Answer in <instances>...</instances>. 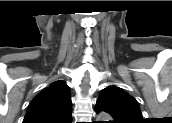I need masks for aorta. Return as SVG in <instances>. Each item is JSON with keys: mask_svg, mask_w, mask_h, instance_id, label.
I'll return each instance as SVG.
<instances>
[{"mask_svg": "<svg viewBox=\"0 0 172 123\" xmlns=\"http://www.w3.org/2000/svg\"><path fill=\"white\" fill-rule=\"evenodd\" d=\"M100 119H105V118H109V116L107 114H101L99 116Z\"/></svg>", "mask_w": 172, "mask_h": 123, "instance_id": "obj_1", "label": "aorta"}]
</instances>
